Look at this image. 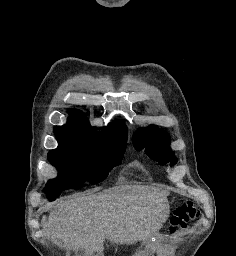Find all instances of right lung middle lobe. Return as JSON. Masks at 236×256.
Returning <instances> with one entry per match:
<instances>
[{"label": "right lung middle lobe", "instance_id": "obj_1", "mask_svg": "<svg viewBox=\"0 0 236 256\" xmlns=\"http://www.w3.org/2000/svg\"><path fill=\"white\" fill-rule=\"evenodd\" d=\"M55 135L59 146L48 153V158L59 175L47 183L50 200L59 197L62 190L103 181L121 162L126 149V142L94 140L66 133Z\"/></svg>", "mask_w": 236, "mask_h": 256}]
</instances>
